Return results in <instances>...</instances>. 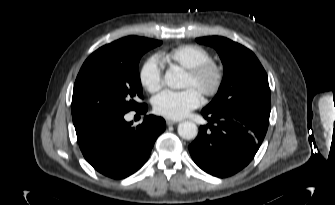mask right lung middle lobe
<instances>
[{
	"label": "right lung middle lobe",
	"mask_w": 335,
	"mask_h": 205,
	"mask_svg": "<svg viewBox=\"0 0 335 205\" xmlns=\"http://www.w3.org/2000/svg\"><path fill=\"white\" fill-rule=\"evenodd\" d=\"M162 42L129 36L93 52L82 65L72 96L73 121L101 115H120L143 104L138 72L141 56Z\"/></svg>",
	"instance_id": "obj_1"
}]
</instances>
